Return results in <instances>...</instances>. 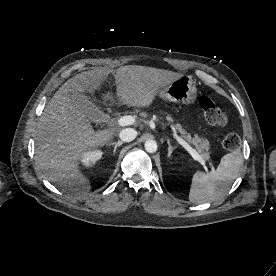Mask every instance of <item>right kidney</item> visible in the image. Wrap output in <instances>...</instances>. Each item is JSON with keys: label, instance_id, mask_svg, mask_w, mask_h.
<instances>
[{"label": "right kidney", "instance_id": "ca27d5eb", "mask_svg": "<svg viewBox=\"0 0 276 276\" xmlns=\"http://www.w3.org/2000/svg\"><path fill=\"white\" fill-rule=\"evenodd\" d=\"M103 152L100 150H92L83 154L81 161L86 166H91L95 164L98 160L102 158Z\"/></svg>", "mask_w": 276, "mask_h": 276}]
</instances>
